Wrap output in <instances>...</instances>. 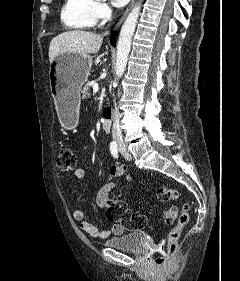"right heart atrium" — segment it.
Returning a JSON list of instances; mask_svg holds the SVG:
<instances>
[{"mask_svg": "<svg viewBox=\"0 0 240 281\" xmlns=\"http://www.w3.org/2000/svg\"><path fill=\"white\" fill-rule=\"evenodd\" d=\"M96 16L99 20H107L112 16V10L104 2L96 3Z\"/></svg>", "mask_w": 240, "mask_h": 281, "instance_id": "d8ad5b80", "label": "right heart atrium"}]
</instances>
